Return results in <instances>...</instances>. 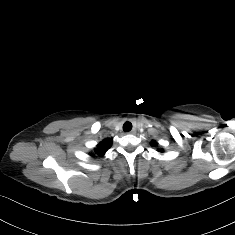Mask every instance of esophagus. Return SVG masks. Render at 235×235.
I'll list each match as a JSON object with an SVG mask.
<instances>
[{
	"instance_id": "34e87169",
	"label": "esophagus",
	"mask_w": 235,
	"mask_h": 235,
	"mask_svg": "<svg viewBox=\"0 0 235 235\" xmlns=\"http://www.w3.org/2000/svg\"><path fill=\"white\" fill-rule=\"evenodd\" d=\"M129 133H130V134H135V133H136V129L133 128Z\"/></svg>"
}]
</instances>
